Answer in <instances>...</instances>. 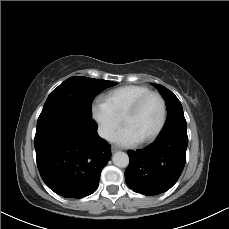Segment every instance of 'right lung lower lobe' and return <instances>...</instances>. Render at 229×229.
Here are the masks:
<instances>
[{
    "mask_svg": "<svg viewBox=\"0 0 229 229\" xmlns=\"http://www.w3.org/2000/svg\"><path fill=\"white\" fill-rule=\"evenodd\" d=\"M96 131L94 120L80 113L39 116L34 139L37 166L45 184L56 194L82 198L97 189L111 148Z\"/></svg>",
    "mask_w": 229,
    "mask_h": 229,
    "instance_id": "right-lung-lower-lobe-1",
    "label": "right lung lower lobe"
}]
</instances>
